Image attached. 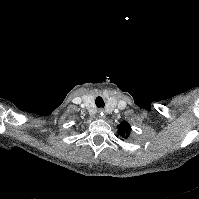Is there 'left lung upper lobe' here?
<instances>
[{"mask_svg":"<svg viewBox=\"0 0 199 199\" xmlns=\"http://www.w3.org/2000/svg\"><path fill=\"white\" fill-rule=\"evenodd\" d=\"M131 131V126L127 122H122L118 126V133L121 134L122 137L128 136Z\"/></svg>","mask_w":199,"mask_h":199,"instance_id":"left-lung-upper-lobe-1","label":"left lung upper lobe"}]
</instances>
